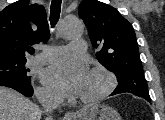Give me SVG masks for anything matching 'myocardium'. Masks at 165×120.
<instances>
[{
	"instance_id": "myocardium-1",
	"label": "myocardium",
	"mask_w": 165,
	"mask_h": 120,
	"mask_svg": "<svg viewBox=\"0 0 165 120\" xmlns=\"http://www.w3.org/2000/svg\"><path fill=\"white\" fill-rule=\"evenodd\" d=\"M93 74H98L104 77L106 84L104 88L96 95L90 97H79V102L83 104H92L97 103L103 99H105L108 95H110L116 87V77L109 69L102 65H96L90 70Z\"/></svg>"
}]
</instances>
